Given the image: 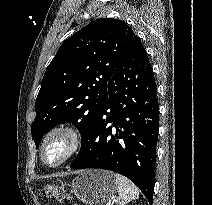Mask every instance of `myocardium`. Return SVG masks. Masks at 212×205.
<instances>
[{"instance_id": "1", "label": "myocardium", "mask_w": 212, "mask_h": 205, "mask_svg": "<svg viewBox=\"0 0 212 205\" xmlns=\"http://www.w3.org/2000/svg\"><path fill=\"white\" fill-rule=\"evenodd\" d=\"M55 139H61L65 143V150L60 158L50 162L46 158V149L48 145ZM81 136L79 131L72 125L60 124L50 129L44 136L40 146V157L44 164L54 167L61 165L69 160L80 148Z\"/></svg>"}]
</instances>
